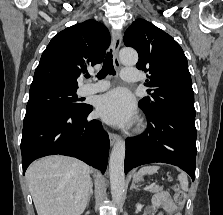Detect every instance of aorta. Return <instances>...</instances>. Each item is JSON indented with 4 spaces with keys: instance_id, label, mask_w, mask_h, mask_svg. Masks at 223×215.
Wrapping results in <instances>:
<instances>
[{
    "instance_id": "1",
    "label": "aorta",
    "mask_w": 223,
    "mask_h": 215,
    "mask_svg": "<svg viewBox=\"0 0 223 215\" xmlns=\"http://www.w3.org/2000/svg\"><path fill=\"white\" fill-rule=\"evenodd\" d=\"M119 58L121 64H124V66H135L138 62V54L133 48H122ZM124 157L125 141L119 137L118 141L112 147L109 161L111 195L114 201H121L124 193Z\"/></svg>"
}]
</instances>
